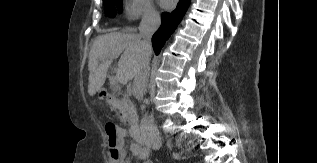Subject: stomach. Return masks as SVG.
<instances>
[{
    "instance_id": "1",
    "label": "stomach",
    "mask_w": 317,
    "mask_h": 163,
    "mask_svg": "<svg viewBox=\"0 0 317 163\" xmlns=\"http://www.w3.org/2000/svg\"><path fill=\"white\" fill-rule=\"evenodd\" d=\"M98 98L103 99V96H101V94H98Z\"/></svg>"
}]
</instances>
